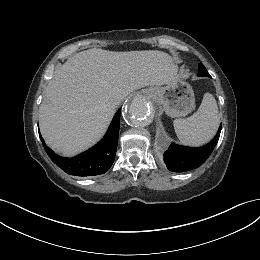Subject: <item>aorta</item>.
I'll list each match as a JSON object with an SVG mask.
<instances>
[{"mask_svg":"<svg viewBox=\"0 0 260 260\" xmlns=\"http://www.w3.org/2000/svg\"><path fill=\"white\" fill-rule=\"evenodd\" d=\"M152 114L149 101L143 96H137L128 107L126 119L131 126L140 129L150 124Z\"/></svg>","mask_w":260,"mask_h":260,"instance_id":"762f6f07","label":"aorta"}]
</instances>
